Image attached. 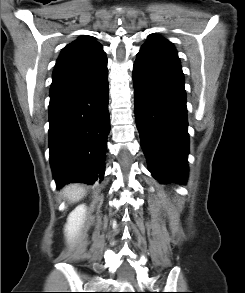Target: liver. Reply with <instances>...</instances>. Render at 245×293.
<instances>
[{
    "mask_svg": "<svg viewBox=\"0 0 245 293\" xmlns=\"http://www.w3.org/2000/svg\"><path fill=\"white\" fill-rule=\"evenodd\" d=\"M63 194L70 202H77L85 196L86 190L79 184H70L63 189Z\"/></svg>",
    "mask_w": 245,
    "mask_h": 293,
    "instance_id": "obj_1",
    "label": "liver"
}]
</instances>
